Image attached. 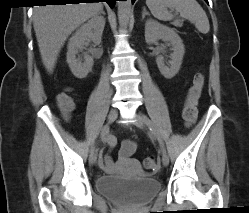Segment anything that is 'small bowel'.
<instances>
[{
  "label": "small bowel",
  "instance_id": "c3829d8e",
  "mask_svg": "<svg viewBox=\"0 0 249 213\" xmlns=\"http://www.w3.org/2000/svg\"><path fill=\"white\" fill-rule=\"evenodd\" d=\"M106 142L109 146V148H113L117 141L116 138L113 136H108L106 138ZM137 149V144L136 142L132 140H124L121 143V147L119 150V161L123 162L127 160ZM98 167L107 172V173H112L116 169V164L113 161L112 157L110 156L109 152L105 151H100L98 154Z\"/></svg>",
  "mask_w": 249,
  "mask_h": 213
}]
</instances>
